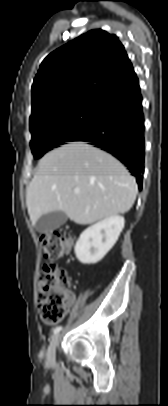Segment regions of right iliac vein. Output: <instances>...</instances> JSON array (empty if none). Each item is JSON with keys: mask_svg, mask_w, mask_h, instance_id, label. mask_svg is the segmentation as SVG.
I'll use <instances>...</instances> for the list:
<instances>
[{"mask_svg": "<svg viewBox=\"0 0 168 406\" xmlns=\"http://www.w3.org/2000/svg\"><path fill=\"white\" fill-rule=\"evenodd\" d=\"M60 339V334H55L49 344L48 350H47V359L50 362H53L55 360V354H56V348L58 346Z\"/></svg>", "mask_w": 168, "mask_h": 406, "instance_id": "obj_1", "label": "right iliac vein"}]
</instances>
